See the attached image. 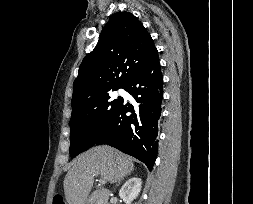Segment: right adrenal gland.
<instances>
[{"instance_id":"2a0ac1e0","label":"right adrenal gland","mask_w":253,"mask_h":204,"mask_svg":"<svg viewBox=\"0 0 253 204\" xmlns=\"http://www.w3.org/2000/svg\"><path fill=\"white\" fill-rule=\"evenodd\" d=\"M123 178L119 179L118 183L116 184V186L120 185L121 181Z\"/></svg>"}]
</instances>
